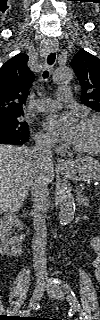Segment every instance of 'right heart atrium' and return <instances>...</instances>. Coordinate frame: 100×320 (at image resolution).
Here are the masks:
<instances>
[{"label":"right heart atrium","instance_id":"obj_1","mask_svg":"<svg viewBox=\"0 0 100 320\" xmlns=\"http://www.w3.org/2000/svg\"><path fill=\"white\" fill-rule=\"evenodd\" d=\"M36 142L42 146H51L53 145V140L51 137L43 132H38L35 136Z\"/></svg>","mask_w":100,"mask_h":320}]
</instances>
